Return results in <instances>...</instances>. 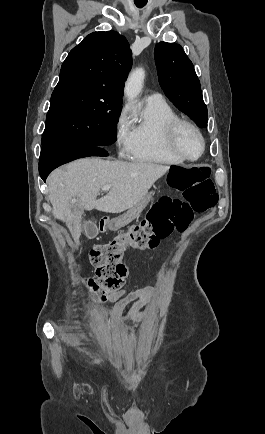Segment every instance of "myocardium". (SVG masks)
<instances>
[{
    "label": "myocardium",
    "instance_id": "obj_1",
    "mask_svg": "<svg viewBox=\"0 0 265 434\" xmlns=\"http://www.w3.org/2000/svg\"><path fill=\"white\" fill-rule=\"evenodd\" d=\"M184 129H189V130L193 131L197 135V137L199 138V140L201 142V152L196 158H188V157L184 156V154L182 153V151L180 149L179 136L181 135V133ZM168 142H169V145H170L173 153L175 154V156L184 163H195V162L199 161L204 156V154L206 152V148H207L206 139L203 136L202 132L199 130V128L195 124H193L192 122L181 119V118H177L172 122V124L170 126Z\"/></svg>",
    "mask_w": 265,
    "mask_h": 434
}]
</instances>
